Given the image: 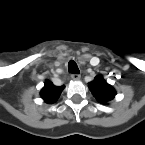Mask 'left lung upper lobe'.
I'll list each match as a JSON object with an SVG mask.
<instances>
[{"instance_id":"left-lung-upper-lobe-1","label":"left lung upper lobe","mask_w":145,"mask_h":145,"mask_svg":"<svg viewBox=\"0 0 145 145\" xmlns=\"http://www.w3.org/2000/svg\"><path fill=\"white\" fill-rule=\"evenodd\" d=\"M89 89L100 103H108L115 97V89L102 76H97L90 82Z\"/></svg>"}]
</instances>
